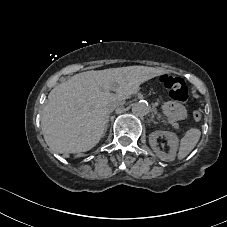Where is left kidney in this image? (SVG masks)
Wrapping results in <instances>:
<instances>
[{"label": "left kidney", "mask_w": 227, "mask_h": 227, "mask_svg": "<svg viewBox=\"0 0 227 227\" xmlns=\"http://www.w3.org/2000/svg\"><path fill=\"white\" fill-rule=\"evenodd\" d=\"M159 137L166 138L169 146L168 152L160 151L159 148L157 147V140ZM149 144L152 150L154 151L155 155L161 161L171 162L175 159L178 140L174 133L170 131H154L149 135Z\"/></svg>", "instance_id": "1"}]
</instances>
